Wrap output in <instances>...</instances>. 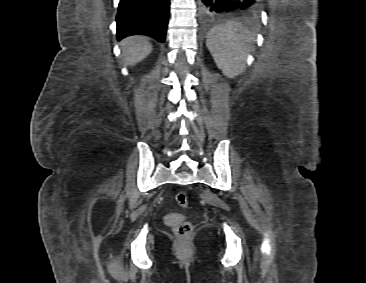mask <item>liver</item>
<instances>
[{
    "label": "liver",
    "mask_w": 366,
    "mask_h": 283,
    "mask_svg": "<svg viewBox=\"0 0 366 283\" xmlns=\"http://www.w3.org/2000/svg\"><path fill=\"white\" fill-rule=\"evenodd\" d=\"M122 54L127 65H135L152 51V45L145 36L132 35L121 41Z\"/></svg>",
    "instance_id": "6515ba94"
}]
</instances>
